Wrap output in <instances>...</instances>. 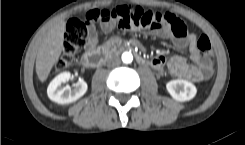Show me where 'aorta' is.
Instances as JSON below:
<instances>
[{
  "label": "aorta",
  "instance_id": "1",
  "mask_svg": "<svg viewBox=\"0 0 245 145\" xmlns=\"http://www.w3.org/2000/svg\"><path fill=\"white\" fill-rule=\"evenodd\" d=\"M132 60H133V55H132L131 52H124V53L122 54V61H123L124 63L129 64V63L132 62Z\"/></svg>",
  "mask_w": 245,
  "mask_h": 145
}]
</instances>
